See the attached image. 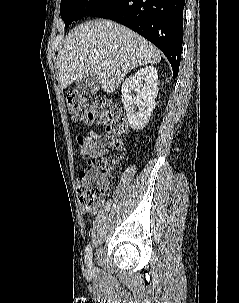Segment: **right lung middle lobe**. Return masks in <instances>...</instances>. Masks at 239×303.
Returning <instances> with one entry per match:
<instances>
[{"label": "right lung middle lobe", "mask_w": 239, "mask_h": 303, "mask_svg": "<svg viewBox=\"0 0 239 303\" xmlns=\"http://www.w3.org/2000/svg\"><path fill=\"white\" fill-rule=\"evenodd\" d=\"M106 0H61L60 15L67 28L72 21L87 16Z\"/></svg>", "instance_id": "right-lung-middle-lobe-1"}]
</instances>
